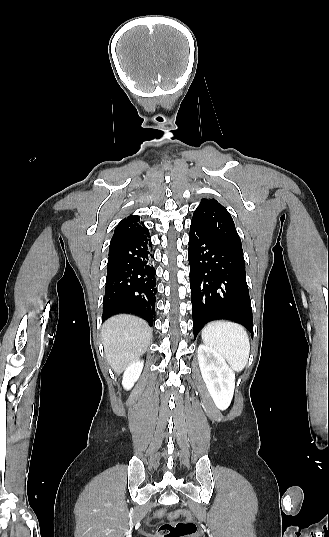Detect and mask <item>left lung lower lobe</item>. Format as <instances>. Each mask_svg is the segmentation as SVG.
<instances>
[{
  "mask_svg": "<svg viewBox=\"0 0 329 537\" xmlns=\"http://www.w3.org/2000/svg\"><path fill=\"white\" fill-rule=\"evenodd\" d=\"M188 260L194 338L208 322L220 319L242 324L253 335L243 251L191 224Z\"/></svg>",
  "mask_w": 329,
  "mask_h": 537,
  "instance_id": "obj_1",
  "label": "left lung lower lobe"
}]
</instances>
